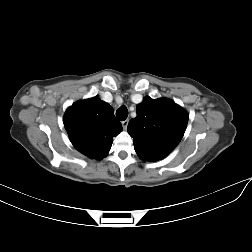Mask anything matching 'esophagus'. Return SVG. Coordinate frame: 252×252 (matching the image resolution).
Listing matches in <instances>:
<instances>
[{
	"mask_svg": "<svg viewBox=\"0 0 252 252\" xmlns=\"http://www.w3.org/2000/svg\"><path fill=\"white\" fill-rule=\"evenodd\" d=\"M128 122H129V120H128V119H127V120L122 121V126H123V129H126V128H127Z\"/></svg>",
	"mask_w": 252,
	"mask_h": 252,
	"instance_id": "34e87169",
	"label": "esophagus"
}]
</instances>
